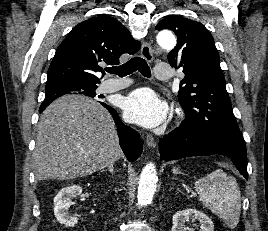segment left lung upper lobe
I'll list each match as a JSON object with an SVG mask.
<instances>
[{"mask_svg": "<svg viewBox=\"0 0 268 231\" xmlns=\"http://www.w3.org/2000/svg\"><path fill=\"white\" fill-rule=\"evenodd\" d=\"M156 29H170L177 35V45L169 52L168 61L174 68H183L185 74L178 93L186 113L181 125L245 142L232 111L210 32L201 23L176 15L161 20Z\"/></svg>", "mask_w": 268, "mask_h": 231, "instance_id": "1", "label": "left lung upper lobe"}]
</instances>
